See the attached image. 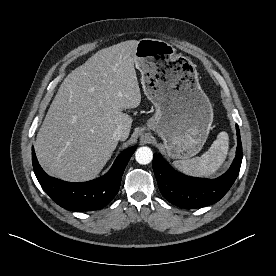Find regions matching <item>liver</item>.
Returning <instances> with one entry per match:
<instances>
[{"label":"liver","mask_w":276,"mask_h":276,"mask_svg":"<svg viewBox=\"0 0 276 276\" xmlns=\"http://www.w3.org/2000/svg\"><path fill=\"white\" fill-rule=\"evenodd\" d=\"M137 44L128 40L99 50L60 85L34 145L50 176L89 181L117 147L114 130L122 126L127 133L124 140L128 138L132 118L122 111L141 102L134 68Z\"/></svg>","instance_id":"obj_1"}]
</instances>
